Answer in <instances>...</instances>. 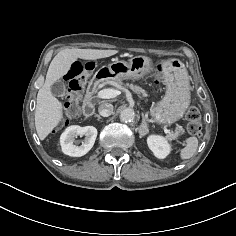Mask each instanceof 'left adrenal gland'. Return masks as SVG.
<instances>
[{
    "mask_svg": "<svg viewBox=\"0 0 236 236\" xmlns=\"http://www.w3.org/2000/svg\"><path fill=\"white\" fill-rule=\"evenodd\" d=\"M146 128H148V125H147V123H146V121H145L144 115L142 114V123H141V125L138 127V132L142 135L143 130L146 129Z\"/></svg>",
    "mask_w": 236,
    "mask_h": 236,
    "instance_id": "a2214340",
    "label": "left adrenal gland"
}]
</instances>
